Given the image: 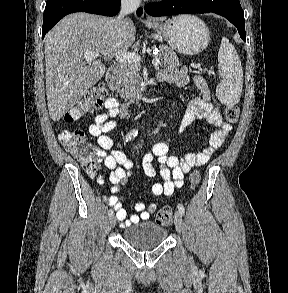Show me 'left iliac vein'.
Returning <instances> with one entry per match:
<instances>
[{"label":"left iliac vein","mask_w":288,"mask_h":293,"mask_svg":"<svg viewBox=\"0 0 288 293\" xmlns=\"http://www.w3.org/2000/svg\"><path fill=\"white\" fill-rule=\"evenodd\" d=\"M174 223H175V227L177 231L181 233L183 229V219H182V214L179 211L175 212Z\"/></svg>","instance_id":"left-iliac-vein-1"}]
</instances>
